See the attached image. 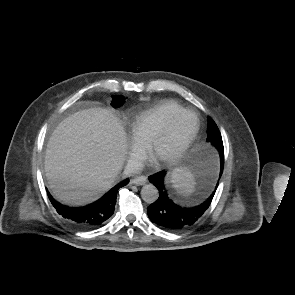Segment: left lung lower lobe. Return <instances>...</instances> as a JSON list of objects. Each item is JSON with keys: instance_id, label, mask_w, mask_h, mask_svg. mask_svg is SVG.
Returning <instances> with one entry per match:
<instances>
[{"instance_id": "1", "label": "left lung lower lobe", "mask_w": 295, "mask_h": 295, "mask_svg": "<svg viewBox=\"0 0 295 295\" xmlns=\"http://www.w3.org/2000/svg\"><path fill=\"white\" fill-rule=\"evenodd\" d=\"M219 151V150H218ZM220 176L224 166V152H220ZM166 172L161 171L154 175L149 176V181L153 183L159 190V198L154 203L148 206L147 213L150 220L159 225L160 227L169 231L183 230L191 226L196 222L208 209L215 191L209 196V198L202 204L195 207H182L175 204L167 196V192L164 190L163 179ZM218 183L216 185V188ZM215 188V189H216Z\"/></svg>"}]
</instances>
